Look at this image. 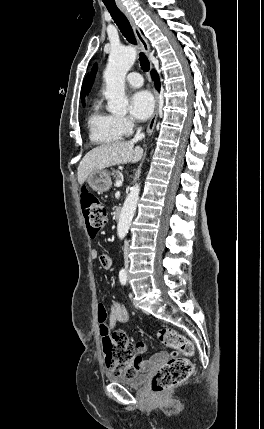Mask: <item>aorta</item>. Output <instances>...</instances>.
Here are the masks:
<instances>
[{
	"instance_id": "762f6f07",
	"label": "aorta",
	"mask_w": 264,
	"mask_h": 429,
	"mask_svg": "<svg viewBox=\"0 0 264 429\" xmlns=\"http://www.w3.org/2000/svg\"><path fill=\"white\" fill-rule=\"evenodd\" d=\"M136 59V50L130 46L113 48L109 54L104 71L106 88L104 95L107 99V109L111 113L125 114L128 99L125 95V77ZM140 185L133 186L127 195L117 224V235L123 239L130 228L139 199Z\"/></svg>"
}]
</instances>
